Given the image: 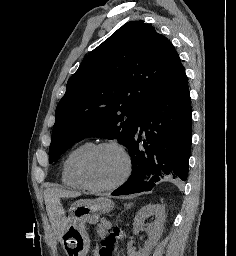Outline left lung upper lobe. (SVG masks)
<instances>
[{
    "instance_id": "5c2ea615",
    "label": "left lung upper lobe",
    "mask_w": 236,
    "mask_h": 256,
    "mask_svg": "<svg viewBox=\"0 0 236 256\" xmlns=\"http://www.w3.org/2000/svg\"><path fill=\"white\" fill-rule=\"evenodd\" d=\"M171 42L152 25L130 21L89 53L56 108L49 163L86 137L126 148L145 106L183 72Z\"/></svg>"
}]
</instances>
